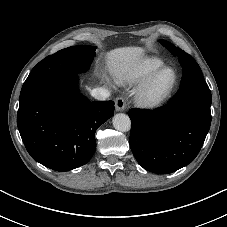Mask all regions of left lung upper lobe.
Here are the masks:
<instances>
[{"mask_svg":"<svg viewBox=\"0 0 227 227\" xmlns=\"http://www.w3.org/2000/svg\"><path fill=\"white\" fill-rule=\"evenodd\" d=\"M160 42L174 56H178L180 64L183 67L180 89L172 101H200L211 103V92L197 62L189 54L180 48H176L173 44L165 40H160Z\"/></svg>","mask_w":227,"mask_h":227,"instance_id":"obj_1","label":"left lung upper lobe"}]
</instances>
